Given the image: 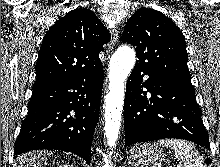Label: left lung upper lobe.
<instances>
[{"instance_id": "left-lung-upper-lobe-1", "label": "left lung upper lobe", "mask_w": 220, "mask_h": 167, "mask_svg": "<svg viewBox=\"0 0 220 167\" xmlns=\"http://www.w3.org/2000/svg\"><path fill=\"white\" fill-rule=\"evenodd\" d=\"M121 39L135 47L136 65L166 77L190 80L184 36L160 11L137 10L128 19Z\"/></svg>"}]
</instances>
